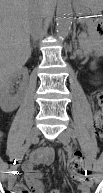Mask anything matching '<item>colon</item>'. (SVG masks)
Listing matches in <instances>:
<instances>
[{
	"mask_svg": "<svg viewBox=\"0 0 103 193\" xmlns=\"http://www.w3.org/2000/svg\"><path fill=\"white\" fill-rule=\"evenodd\" d=\"M94 97L97 101L98 109L95 114V129L100 138L103 137V118H102V110L101 107L103 106V92L96 91L94 93ZM69 170L74 174L83 175L85 174V168L82 158L79 155H75L69 162ZM22 190L23 193H28L25 188H18Z\"/></svg>",
	"mask_w": 103,
	"mask_h": 193,
	"instance_id": "colon-1",
	"label": "colon"
}]
</instances>
